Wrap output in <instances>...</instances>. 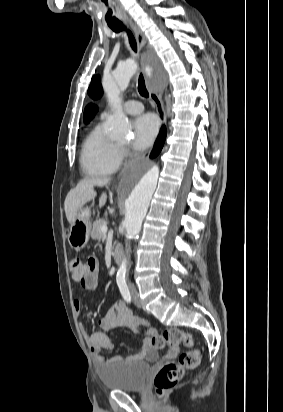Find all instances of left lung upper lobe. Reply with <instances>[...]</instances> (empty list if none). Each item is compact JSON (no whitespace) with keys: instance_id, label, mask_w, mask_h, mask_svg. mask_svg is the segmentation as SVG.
<instances>
[{"instance_id":"left-lung-upper-lobe-1","label":"left lung upper lobe","mask_w":283,"mask_h":412,"mask_svg":"<svg viewBox=\"0 0 283 412\" xmlns=\"http://www.w3.org/2000/svg\"><path fill=\"white\" fill-rule=\"evenodd\" d=\"M88 94L93 99H97V98L101 97L102 87H101L100 82H99V77H93L92 78L91 84H90L89 89H88ZM96 109L97 108L92 104L88 105L85 108L84 120H85L86 123L93 118Z\"/></svg>"}]
</instances>
